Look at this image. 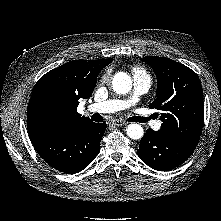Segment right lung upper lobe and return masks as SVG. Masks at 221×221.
Segmentation results:
<instances>
[{
  "mask_svg": "<svg viewBox=\"0 0 221 221\" xmlns=\"http://www.w3.org/2000/svg\"><path fill=\"white\" fill-rule=\"evenodd\" d=\"M112 60H72L43 75L29 100L28 130L57 131L90 121L77 112L79 99L91 96L99 72Z\"/></svg>",
  "mask_w": 221,
  "mask_h": 221,
  "instance_id": "right-lung-upper-lobe-1",
  "label": "right lung upper lobe"
}]
</instances>
